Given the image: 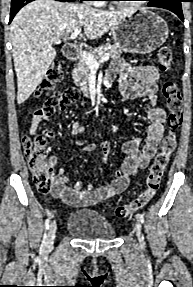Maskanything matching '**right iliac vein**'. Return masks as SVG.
I'll return each mask as SVG.
<instances>
[{
    "label": "right iliac vein",
    "mask_w": 193,
    "mask_h": 287,
    "mask_svg": "<svg viewBox=\"0 0 193 287\" xmlns=\"http://www.w3.org/2000/svg\"><path fill=\"white\" fill-rule=\"evenodd\" d=\"M56 231H57V224L55 221H53L50 224L48 236H47V239L45 241L46 248H50L53 245V241L56 237Z\"/></svg>",
    "instance_id": "obj_1"
}]
</instances>
